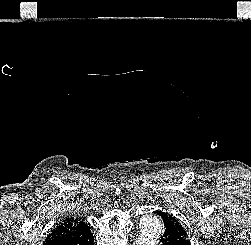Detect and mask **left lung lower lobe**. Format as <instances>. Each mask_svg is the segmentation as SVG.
I'll return each instance as SVG.
<instances>
[{"label": "left lung lower lobe", "mask_w": 251, "mask_h": 245, "mask_svg": "<svg viewBox=\"0 0 251 245\" xmlns=\"http://www.w3.org/2000/svg\"><path fill=\"white\" fill-rule=\"evenodd\" d=\"M155 213L161 218H167L162 211H156ZM163 230L164 234L161 237L162 245H190L189 241L184 239L173 226H163Z\"/></svg>", "instance_id": "0a47b994"}]
</instances>
